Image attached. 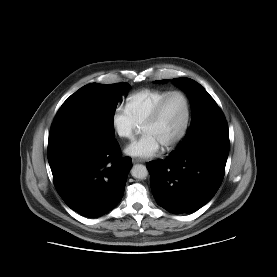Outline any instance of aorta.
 <instances>
[{"label": "aorta", "mask_w": 277, "mask_h": 277, "mask_svg": "<svg viewBox=\"0 0 277 277\" xmlns=\"http://www.w3.org/2000/svg\"><path fill=\"white\" fill-rule=\"evenodd\" d=\"M131 175L136 179H146L148 176V170L146 166L142 164H136L131 169Z\"/></svg>", "instance_id": "1"}]
</instances>
